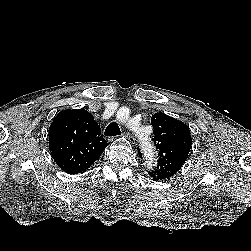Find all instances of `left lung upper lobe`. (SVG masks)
<instances>
[{"label": "left lung upper lobe", "instance_id": "obj_1", "mask_svg": "<svg viewBox=\"0 0 251 251\" xmlns=\"http://www.w3.org/2000/svg\"><path fill=\"white\" fill-rule=\"evenodd\" d=\"M153 141L158 149V164L149 175L154 180H167L185 163L191 149L192 138L186 124L162 112L151 117ZM139 155L141 157L140 151Z\"/></svg>", "mask_w": 251, "mask_h": 251}]
</instances>
